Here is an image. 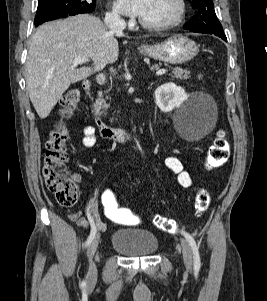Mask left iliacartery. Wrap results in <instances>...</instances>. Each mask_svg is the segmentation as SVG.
I'll return each instance as SVG.
<instances>
[{
	"label": "left iliac artery",
	"mask_w": 267,
	"mask_h": 301,
	"mask_svg": "<svg viewBox=\"0 0 267 301\" xmlns=\"http://www.w3.org/2000/svg\"><path fill=\"white\" fill-rule=\"evenodd\" d=\"M181 233L184 235V237L188 240L191 248H192V252H193V259H194V267L195 268H200L201 266V262H200V255H199V250H198V246L194 240V238L187 232L185 231H181Z\"/></svg>",
	"instance_id": "1"
}]
</instances>
